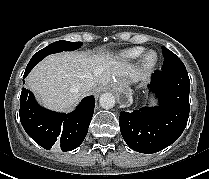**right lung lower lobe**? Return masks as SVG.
<instances>
[{
  "label": "right lung lower lobe",
  "mask_w": 209,
  "mask_h": 179,
  "mask_svg": "<svg viewBox=\"0 0 209 179\" xmlns=\"http://www.w3.org/2000/svg\"><path fill=\"white\" fill-rule=\"evenodd\" d=\"M33 67L25 70L26 77ZM95 99L85 97L68 114L45 109L37 104L34 95L22 88L19 116L26 133L45 149L60 147L62 151L77 148L84 140L94 112Z\"/></svg>",
  "instance_id": "98d812e1"
}]
</instances>
